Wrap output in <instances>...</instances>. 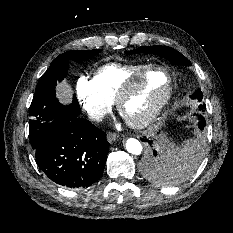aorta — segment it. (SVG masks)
I'll return each mask as SVG.
<instances>
[{
	"mask_svg": "<svg viewBox=\"0 0 233 233\" xmlns=\"http://www.w3.org/2000/svg\"><path fill=\"white\" fill-rule=\"evenodd\" d=\"M126 149L131 154L139 155L142 153L143 147L137 139L129 138L126 141Z\"/></svg>",
	"mask_w": 233,
	"mask_h": 233,
	"instance_id": "obj_1",
	"label": "aorta"
}]
</instances>
